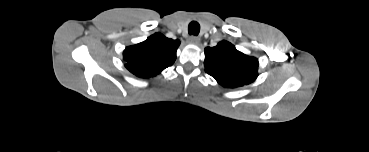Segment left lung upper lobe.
I'll use <instances>...</instances> for the list:
<instances>
[{
	"mask_svg": "<svg viewBox=\"0 0 369 152\" xmlns=\"http://www.w3.org/2000/svg\"><path fill=\"white\" fill-rule=\"evenodd\" d=\"M258 60L238 51L228 41L205 49V71L224 87L235 88L252 83L258 76Z\"/></svg>",
	"mask_w": 369,
	"mask_h": 152,
	"instance_id": "obj_1",
	"label": "left lung upper lobe"
}]
</instances>
